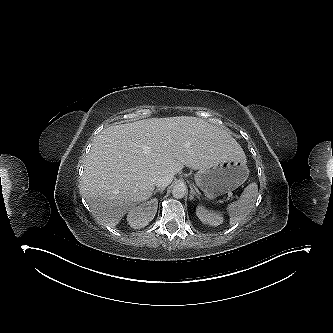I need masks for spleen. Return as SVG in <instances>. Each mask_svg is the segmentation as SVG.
<instances>
[{
  "mask_svg": "<svg viewBox=\"0 0 333 333\" xmlns=\"http://www.w3.org/2000/svg\"><path fill=\"white\" fill-rule=\"evenodd\" d=\"M257 196L258 185L253 182L244 189L237 201L227 206L226 210L230 216L231 226L239 224L249 215L254 208Z\"/></svg>",
  "mask_w": 333,
  "mask_h": 333,
  "instance_id": "3e777b00",
  "label": "spleen"
}]
</instances>
